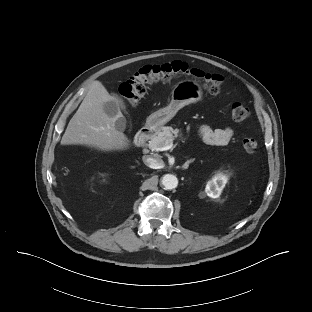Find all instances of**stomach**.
<instances>
[{
	"label": "stomach",
	"instance_id": "stomach-1",
	"mask_svg": "<svg viewBox=\"0 0 312 312\" xmlns=\"http://www.w3.org/2000/svg\"><path fill=\"white\" fill-rule=\"evenodd\" d=\"M202 98V88L195 81H180L172 89L170 103L152 113L146 120V126L158 130L168 123L184 106L199 102Z\"/></svg>",
	"mask_w": 312,
	"mask_h": 312
}]
</instances>
